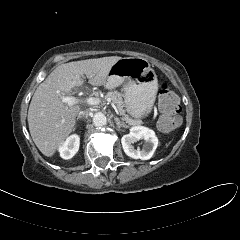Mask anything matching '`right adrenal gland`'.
<instances>
[{
    "instance_id": "1",
    "label": "right adrenal gland",
    "mask_w": 240,
    "mask_h": 240,
    "mask_svg": "<svg viewBox=\"0 0 240 240\" xmlns=\"http://www.w3.org/2000/svg\"><path fill=\"white\" fill-rule=\"evenodd\" d=\"M77 120H78V118H77ZM76 129V127H74V129L73 130H75Z\"/></svg>"
}]
</instances>
